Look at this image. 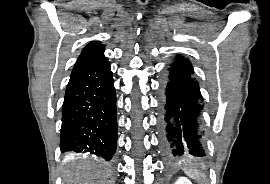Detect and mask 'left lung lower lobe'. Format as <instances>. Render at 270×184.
Listing matches in <instances>:
<instances>
[{
    "mask_svg": "<svg viewBox=\"0 0 270 184\" xmlns=\"http://www.w3.org/2000/svg\"><path fill=\"white\" fill-rule=\"evenodd\" d=\"M189 60L178 57L169 69L161 97L159 134L170 162L207 157L203 103Z\"/></svg>",
    "mask_w": 270,
    "mask_h": 184,
    "instance_id": "0a47b994",
    "label": "left lung lower lobe"
}]
</instances>
